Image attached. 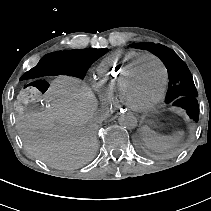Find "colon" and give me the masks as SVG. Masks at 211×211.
<instances>
[{
	"instance_id": "5ec220e1",
	"label": "colon",
	"mask_w": 211,
	"mask_h": 211,
	"mask_svg": "<svg viewBox=\"0 0 211 211\" xmlns=\"http://www.w3.org/2000/svg\"><path fill=\"white\" fill-rule=\"evenodd\" d=\"M50 82L47 79H39L26 84L17 97V108L23 110L25 106L39 101L48 91Z\"/></svg>"
}]
</instances>
